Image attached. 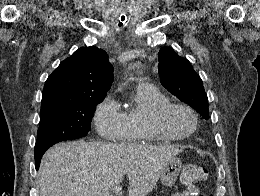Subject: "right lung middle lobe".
<instances>
[{"instance_id":"dd1d6c3e","label":"right lung middle lobe","mask_w":260,"mask_h":196,"mask_svg":"<svg viewBox=\"0 0 260 196\" xmlns=\"http://www.w3.org/2000/svg\"><path fill=\"white\" fill-rule=\"evenodd\" d=\"M103 97H88L41 106L40 125L35 150L55 143L85 137L91 119Z\"/></svg>"}]
</instances>
